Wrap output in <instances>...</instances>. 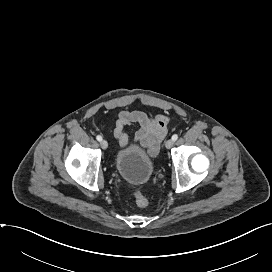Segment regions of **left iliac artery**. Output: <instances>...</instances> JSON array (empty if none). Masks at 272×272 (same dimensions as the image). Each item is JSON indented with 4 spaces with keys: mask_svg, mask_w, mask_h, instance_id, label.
<instances>
[{
    "mask_svg": "<svg viewBox=\"0 0 272 272\" xmlns=\"http://www.w3.org/2000/svg\"><path fill=\"white\" fill-rule=\"evenodd\" d=\"M178 139V135L177 134H174L173 136H172V140L173 141H176Z\"/></svg>",
    "mask_w": 272,
    "mask_h": 272,
    "instance_id": "1",
    "label": "left iliac artery"
}]
</instances>
